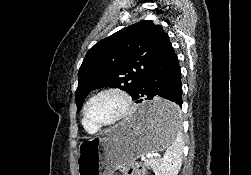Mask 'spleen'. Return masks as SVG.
<instances>
[{"instance_id":"1","label":"spleen","mask_w":251,"mask_h":175,"mask_svg":"<svg viewBox=\"0 0 251 175\" xmlns=\"http://www.w3.org/2000/svg\"><path fill=\"white\" fill-rule=\"evenodd\" d=\"M180 113L178 109H170L169 119H173V141L170 149L166 151L165 157L153 159L151 165L155 175H177L182 161V135L180 133Z\"/></svg>"}]
</instances>
